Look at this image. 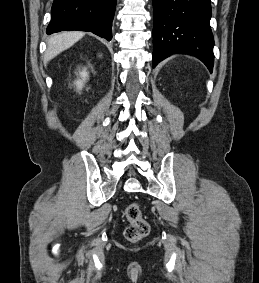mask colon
<instances>
[{
  "mask_svg": "<svg viewBox=\"0 0 259 283\" xmlns=\"http://www.w3.org/2000/svg\"><path fill=\"white\" fill-rule=\"evenodd\" d=\"M125 216L129 225L124 231L126 239L130 242H136L145 237L149 232V224L142 214L140 205L133 202L125 209Z\"/></svg>",
  "mask_w": 259,
  "mask_h": 283,
  "instance_id": "obj_1",
  "label": "colon"
}]
</instances>
